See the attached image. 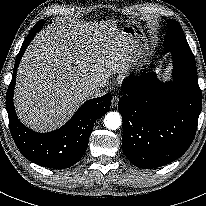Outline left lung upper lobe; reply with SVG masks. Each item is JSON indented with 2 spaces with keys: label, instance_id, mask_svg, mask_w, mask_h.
Here are the masks:
<instances>
[{
  "label": "left lung upper lobe",
  "instance_id": "1",
  "mask_svg": "<svg viewBox=\"0 0 206 206\" xmlns=\"http://www.w3.org/2000/svg\"><path fill=\"white\" fill-rule=\"evenodd\" d=\"M168 25L165 50L172 52L174 62L190 68H196L194 55L187 43L180 24L169 19Z\"/></svg>",
  "mask_w": 206,
  "mask_h": 206
}]
</instances>
